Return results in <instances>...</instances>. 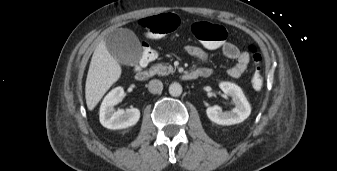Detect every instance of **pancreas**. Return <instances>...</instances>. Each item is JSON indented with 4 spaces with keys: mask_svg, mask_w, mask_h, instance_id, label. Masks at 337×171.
I'll list each match as a JSON object with an SVG mask.
<instances>
[{
    "mask_svg": "<svg viewBox=\"0 0 337 171\" xmlns=\"http://www.w3.org/2000/svg\"><path fill=\"white\" fill-rule=\"evenodd\" d=\"M173 72H174L173 67L171 66L167 67L166 65H163V64H157L151 68L152 74L167 75Z\"/></svg>",
    "mask_w": 337,
    "mask_h": 171,
    "instance_id": "cf45deb5",
    "label": "pancreas"
}]
</instances>
